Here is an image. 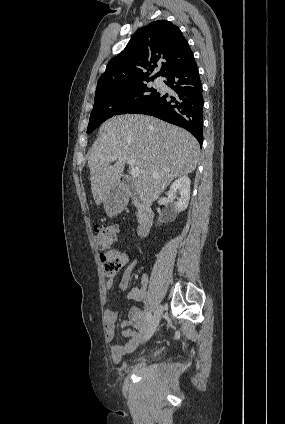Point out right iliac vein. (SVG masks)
<instances>
[{
	"label": "right iliac vein",
	"instance_id": "right-iliac-vein-1",
	"mask_svg": "<svg viewBox=\"0 0 285 424\" xmlns=\"http://www.w3.org/2000/svg\"><path fill=\"white\" fill-rule=\"evenodd\" d=\"M162 311H163L162 306H159L155 310V313H154V316H153V318L150 322L148 331H147V333L145 334V337H144L145 341L149 340L154 335V333H155V331H156V329L159 325L161 315H162Z\"/></svg>",
	"mask_w": 285,
	"mask_h": 424
}]
</instances>
